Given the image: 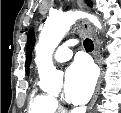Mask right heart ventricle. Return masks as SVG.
Segmentation results:
<instances>
[{"instance_id":"e07e8e85","label":"right heart ventricle","mask_w":121,"mask_h":113,"mask_svg":"<svg viewBox=\"0 0 121 113\" xmlns=\"http://www.w3.org/2000/svg\"><path fill=\"white\" fill-rule=\"evenodd\" d=\"M55 109V103L49 93L33 89L29 98L28 113H53Z\"/></svg>"}]
</instances>
